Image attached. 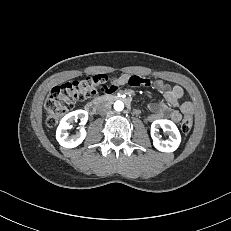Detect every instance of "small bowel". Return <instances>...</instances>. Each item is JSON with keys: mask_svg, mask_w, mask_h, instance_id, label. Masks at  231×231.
<instances>
[{"mask_svg": "<svg viewBox=\"0 0 231 231\" xmlns=\"http://www.w3.org/2000/svg\"><path fill=\"white\" fill-rule=\"evenodd\" d=\"M125 85L137 89H147L152 85L154 89L159 90L163 94L165 102L150 103L148 105V109L151 112L149 120L151 121L168 117L174 122H179L183 115H191L193 113L194 107L192 102H180L184 94L180 86H171L162 80H154L152 82L147 76L140 77L134 74H124L113 80L111 85L103 88L101 91L105 94H111L114 90H119L120 87L124 88Z\"/></svg>", "mask_w": 231, "mask_h": 231, "instance_id": "obj_1", "label": "small bowel"}]
</instances>
